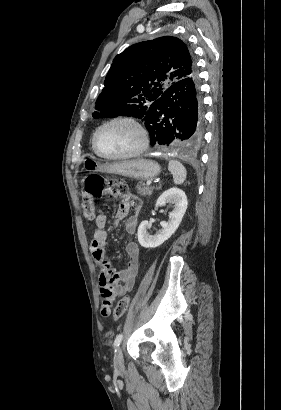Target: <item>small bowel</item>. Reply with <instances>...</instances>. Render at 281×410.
I'll list each match as a JSON object with an SVG mask.
<instances>
[{
	"label": "small bowel",
	"instance_id": "obj_1",
	"mask_svg": "<svg viewBox=\"0 0 281 410\" xmlns=\"http://www.w3.org/2000/svg\"><path fill=\"white\" fill-rule=\"evenodd\" d=\"M140 208L141 202L139 198L132 194H127L123 197L114 217V224H117L127 216L130 210L134 212L125 221V231L128 236L126 244L128 262L119 273L112 269L110 262L106 258L108 237L106 214L104 211H100L95 218L97 228L93 234L90 248L94 261L100 267L99 284L101 286L102 309L104 304L109 302L107 306L108 313H103L101 309L103 316L109 315L111 304L115 298L125 295L134 287L139 267V248L132 240V236L137 228Z\"/></svg>",
	"mask_w": 281,
	"mask_h": 410
}]
</instances>
